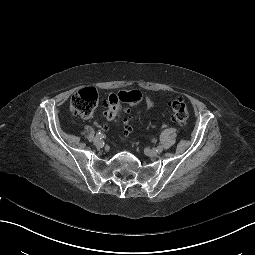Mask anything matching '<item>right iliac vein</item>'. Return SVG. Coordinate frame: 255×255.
I'll return each instance as SVG.
<instances>
[{
  "label": "right iliac vein",
  "mask_w": 255,
  "mask_h": 255,
  "mask_svg": "<svg viewBox=\"0 0 255 255\" xmlns=\"http://www.w3.org/2000/svg\"><path fill=\"white\" fill-rule=\"evenodd\" d=\"M93 142H94V145L101 146V140L98 137H96Z\"/></svg>",
  "instance_id": "1"
}]
</instances>
